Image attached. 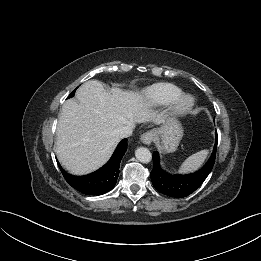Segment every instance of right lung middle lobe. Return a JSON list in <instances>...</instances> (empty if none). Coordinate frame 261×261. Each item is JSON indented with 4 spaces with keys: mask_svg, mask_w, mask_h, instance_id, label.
Instances as JSON below:
<instances>
[{
    "mask_svg": "<svg viewBox=\"0 0 261 261\" xmlns=\"http://www.w3.org/2000/svg\"><path fill=\"white\" fill-rule=\"evenodd\" d=\"M75 91H76V89L74 90V91H72V93L68 96V98H71V97H73L74 96V94H75Z\"/></svg>",
    "mask_w": 261,
    "mask_h": 261,
    "instance_id": "right-lung-middle-lobe-1",
    "label": "right lung middle lobe"
}]
</instances>
